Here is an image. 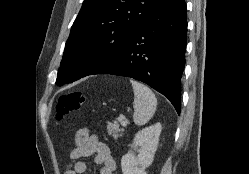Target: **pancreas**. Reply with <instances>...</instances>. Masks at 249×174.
Segmentation results:
<instances>
[{
	"label": "pancreas",
	"mask_w": 249,
	"mask_h": 174,
	"mask_svg": "<svg viewBox=\"0 0 249 174\" xmlns=\"http://www.w3.org/2000/svg\"><path fill=\"white\" fill-rule=\"evenodd\" d=\"M107 131L114 139H118L123 135L124 129L117 123H108Z\"/></svg>",
	"instance_id": "pancreas-1"
}]
</instances>
